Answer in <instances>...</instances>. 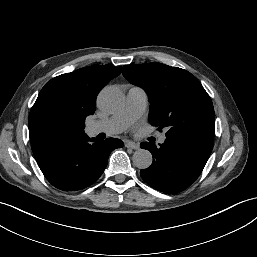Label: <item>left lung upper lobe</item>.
Here are the masks:
<instances>
[{"instance_id":"1","label":"left lung upper lobe","mask_w":257,"mask_h":257,"mask_svg":"<svg viewBox=\"0 0 257 257\" xmlns=\"http://www.w3.org/2000/svg\"><path fill=\"white\" fill-rule=\"evenodd\" d=\"M124 77L143 88L149 97V122L158 130L167 128L166 138L184 134L213 133L214 108L199 80L188 71L153 62L124 65Z\"/></svg>"}]
</instances>
